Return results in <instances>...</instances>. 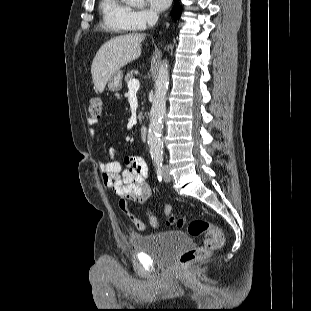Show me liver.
<instances>
[{
	"label": "liver",
	"instance_id": "obj_1",
	"mask_svg": "<svg viewBox=\"0 0 311 311\" xmlns=\"http://www.w3.org/2000/svg\"><path fill=\"white\" fill-rule=\"evenodd\" d=\"M144 39L143 34L132 33L114 37L100 47L91 66L92 79L100 93L115 73L140 57Z\"/></svg>",
	"mask_w": 311,
	"mask_h": 311
}]
</instances>
